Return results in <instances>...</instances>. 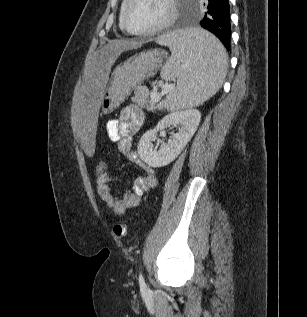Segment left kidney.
<instances>
[{"mask_svg":"<svg viewBox=\"0 0 307 317\" xmlns=\"http://www.w3.org/2000/svg\"><path fill=\"white\" fill-rule=\"evenodd\" d=\"M200 119L201 113L197 109L175 111L166 115L154 129L142 135L137 149L141 160L154 168L172 162L194 135ZM169 126H178V132L170 137L168 143L162 144L159 150L154 149L152 142L155 141L158 131Z\"/></svg>","mask_w":307,"mask_h":317,"instance_id":"left-kidney-1","label":"left kidney"}]
</instances>
